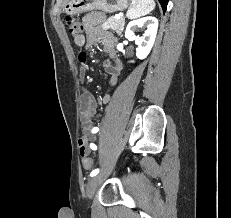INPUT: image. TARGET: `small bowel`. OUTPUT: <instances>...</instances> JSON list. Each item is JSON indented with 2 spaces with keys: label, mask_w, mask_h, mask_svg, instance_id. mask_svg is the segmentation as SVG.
<instances>
[{
  "label": "small bowel",
  "mask_w": 231,
  "mask_h": 218,
  "mask_svg": "<svg viewBox=\"0 0 231 218\" xmlns=\"http://www.w3.org/2000/svg\"><path fill=\"white\" fill-rule=\"evenodd\" d=\"M104 19V14L102 12H91L83 18V27L86 35H81L74 38V43L78 47L91 48L95 44L100 43L102 50L106 52L111 59L115 62L112 63L110 60H105L103 62L104 70L110 75V84L114 87L122 69L120 61L117 59V54L114 49L115 38L114 36L105 31L98 29V24ZM79 64L81 67V77L84 79L85 72L87 70L85 56H80ZM111 100V94L107 93L102 98L103 104H108ZM98 110V103L92 93L84 86L83 92L80 98V112H81V125L82 129L91 133L93 130V118ZM89 140L87 137H83L79 140V151L80 154H87L91 147L89 146Z\"/></svg>",
  "instance_id": "small-bowel-1"
}]
</instances>
